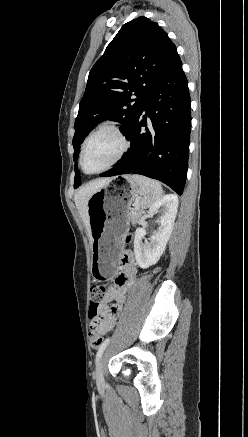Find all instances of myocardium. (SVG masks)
Returning <instances> with one entry per match:
<instances>
[{
  "label": "myocardium",
  "mask_w": 248,
  "mask_h": 437,
  "mask_svg": "<svg viewBox=\"0 0 248 437\" xmlns=\"http://www.w3.org/2000/svg\"><path fill=\"white\" fill-rule=\"evenodd\" d=\"M103 131H110L112 133H114L118 139L121 142V148L119 150V152L117 153V155L115 156V158L109 163L107 164L105 167H103L100 170H97L95 172H88L85 169V165H84V154H85V149L87 146V143L89 142V140L91 138H93L95 135H97L100 132ZM130 148V142L125 134V132L123 131V129L120 127V125H118L115 122H105L103 124H100L99 126H97L83 141L82 146H81V151H80V167L82 169V171L86 174H99L102 172L107 171L108 169L112 168L114 165H116L124 156L125 154L128 152Z\"/></svg>",
  "instance_id": "obj_1"
}]
</instances>
